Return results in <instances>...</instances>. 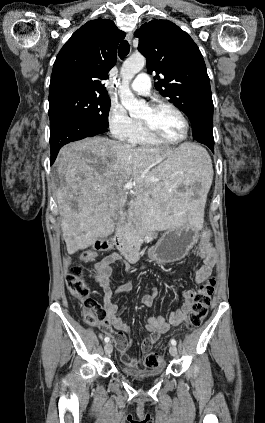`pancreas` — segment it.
<instances>
[{"label": "pancreas", "mask_w": 265, "mask_h": 423, "mask_svg": "<svg viewBox=\"0 0 265 423\" xmlns=\"http://www.w3.org/2000/svg\"><path fill=\"white\" fill-rule=\"evenodd\" d=\"M127 236L131 239V244L132 245H136V244H138L142 240V238H144V237L145 238H148V237L151 236V234L150 233L145 234L140 229H132V228H130L127 231Z\"/></svg>", "instance_id": "obj_1"}]
</instances>
